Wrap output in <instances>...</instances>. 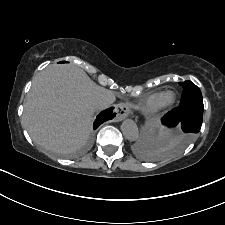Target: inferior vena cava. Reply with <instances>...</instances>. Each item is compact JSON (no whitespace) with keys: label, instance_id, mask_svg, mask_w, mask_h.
<instances>
[{"label":"inferior vena cava","instance_id":"obj_1","mask_svg":"<svg viewBox=\"0 0 225 225\" xmlns=\"http://www.w3.org/2000/svg\"><path fill=\"white\" fill-rule=\"evenodd\" d=\"M113 102L110 100H102L100 102H98L97 107L99 110H103L107 107H109Z\"/></svg>","mask_w":225,"mask_h":225}]
</instances>
